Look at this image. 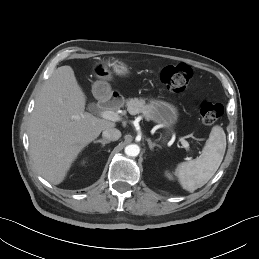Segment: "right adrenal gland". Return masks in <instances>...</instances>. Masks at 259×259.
<instances>
[{
	"label": "right adrenal gland",
	"instance_id": "obj_1",
	"mask_svg": "<svg viewBox=\"0 0 259 259\" xmlns=\"http://www.w3.org/2000/svg\"><path fill=\"white\" fill-rule=\"evenodd\" d=\"M94 143H101L102 147H104L106 144L110 143V141L105 139H100V140H95Z\"/></svg>",
	"mask_w": 259,
	"mask_h": 259
}]
</instances>
